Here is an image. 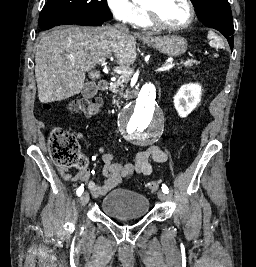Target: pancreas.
<instances>
[{"label": "pancreas", "mask_w": 256, "mask_h": 267, "mask_svg": "<svg viewBox=\"0 0 256 267\" xmlns=\"http://www.w3.org/2000/svg\"><path fill=\"white\" fill-rule=\"evenodd\" d=\"M181 64H183V62H181ZM184 66L189 68V66H194V64L192 60H187V62H184ZM122 76H124L125 82H114V84L110 86V90L112 94H119L121 98H126V100H128V98H130V94H138V92H128L127 90L126 94H124V90L127 88L129 80H131V74H122ZM113 102L116 104L119 100H113Z\"/></svg>", "instance_id": "cf45deb5"}]
</instances>
